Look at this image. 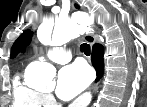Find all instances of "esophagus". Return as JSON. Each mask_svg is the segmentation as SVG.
<instances>
[{
	"instance_id": "obj_1",
	"label": "esophagus",
	"mask_w": 147,
	"mask_h": 107,
	"mask_svg": "<svg viewBox=\"0 0 147 107\" xmlns=\"http://www.w3.org/2000/svg\"><path fill=\"white\" fill-rule=\"evenodd\" d=\"M84 39L87 43H89L90 45H93L96 42V39L94 38V36L90 33L85 34L84 35Z\"/></svg>"
}]
</instances>
